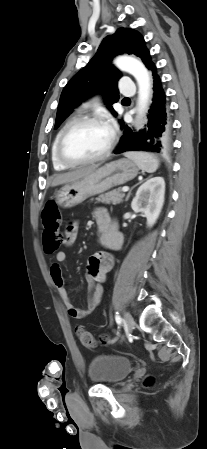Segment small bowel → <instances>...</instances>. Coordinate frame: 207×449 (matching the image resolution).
<instances>
[{
	"label": "small bowel",
	"mask_w": 207,
	"mask_h": 449,
	"mask_svg": "<svg viewBox=\"0 0 207 449\" xmlns=\"http://www.w3.org/2000/svg\"><path fill=\"white\" fill-rule=\"evenodd\" d=\"M94 217L97 225L102 232L99 236V244L109 249H118L122 243V237L117 231V222L111 217L109 212L99 207L94 211ZM78 233V224L70 222L65 230V246L74 245ZM66 260V254L60 251L56 254L55 263L50 268L51 277L57 287L60 298L68 314L75 319H83L90 315L100 304L103 295V283L106 280L108 272L113 266V258L106 252L93 254L87 263L86 280L88 283L89 299L86 308L80 309L74 306L69 297L65 285L61 264Z\"/></svg>",
	"instance_id": "small-bowel-1"
}]
</instances>
